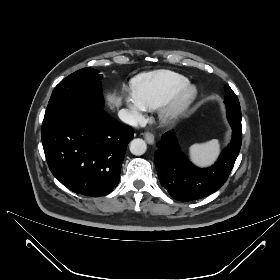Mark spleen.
<instances>
[{"mask_svg": "<svg viewBox=\"0 0 280 280\" xmlns=\"http://www.w3.org/2000/svg\"><path fill=\"white\" fill-rule=\"evenodd\" d=\"M220 152L216 139L205 143L194 144L189 148L190 160L199 167H207L214 163Z\"/></svg>", "mask_w": 280, "mask_h": 280, "instance_id": "obj_1", "label": "spleen"}]
</instances>
